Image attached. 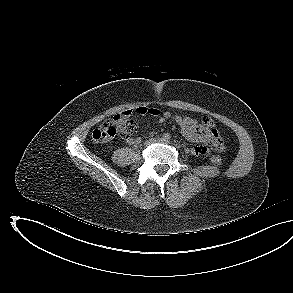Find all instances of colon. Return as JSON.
<instances>
[{
	"mask_svg": "<svg viewBox=\"0 0 293 293\" xmlns=\"http://www.w3.org/2000/svg\"><path fill=\"white\" fill-rule=\"evenodd\" d=\"M137 130L136 123L125 114L115 115L108 121H106L100 127L94 129L92 137L95 141L102 142L112 139L116 136H130ZM204 149H202V152ZM211 162L214 165L219 166L221 164V158L218 155H212L210 157Z\"/></svg>",
	"mask_w": 293,
	"mask_h": 293,
	"instance_id": "5ec220e1",
	"label": "colon"
}]
</instances>
